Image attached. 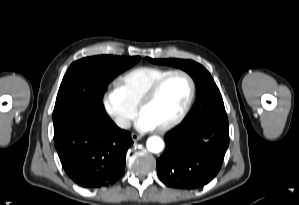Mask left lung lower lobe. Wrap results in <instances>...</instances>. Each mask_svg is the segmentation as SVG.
<instances>
[{
    "mask_svg": "<svg viewBox=\"0 0 299 205\" xmlns=\"http://www.w3.org/2000/svg\"><path fill=\"white\" fill-rule=\"evenodd\" d=\"M166 149L157 160L160 180L177 189H197L219 172L229 145L225 109L188 119L165 136Z\"/></svg>",
    "mask_w": 299,
    "mask_h": 205,
    "instance_id": "obj_1",
    "label": "left lung lower lobe"
}]
</instances>
